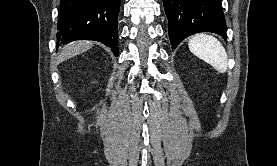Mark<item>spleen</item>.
<instances>
[{
	"mask_svg": "<svg viewBox=\"0 0 277 166\" xmlns=\"http://www.w3.org/2000/svg\"><path fill=\"white\" fill-rule=\"evenodd\" d=\"M189 50L220 73L227 71V53L218 39L207 34H197L188 43Z\"/></svg>",
	"mask_w": 277,
	"mask_h": 166,
	"instance_id": "obj_1",
	"label": "spleen"
}]
</instances>
